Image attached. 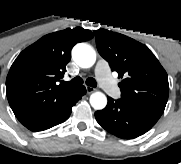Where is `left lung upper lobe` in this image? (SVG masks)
I'll use <instances>...</instances> for the list:
<instances>
[{
  "instance_id": "left-lung-upper-lobe-1",
  "label": "left lung upper lobe",
  "mask_w": 181,
  "mask_h": 164,
  "mask_svg": "<svg viewBox=\"0 0 181 164\" xmlns=\"http://www.w3.org/2000/svg\"><path fill=\"white\" fill-rule=\"evenodd\" d=\"M97 49L111 70L124 78L120 100L164 112L169 92L167 73L150 49L134 39L107 29L94 31Z\"/></svg>"
}]
</instances>
